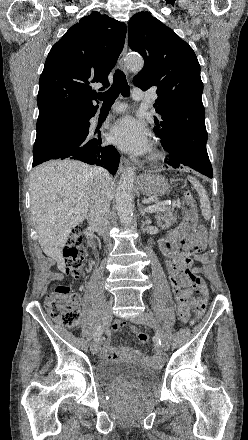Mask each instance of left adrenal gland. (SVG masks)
Listing matches in <instances>:
<instances>
[{"label":"left adrenal gland","mask_w":248,"mask_h":440,"mask_svg":"<svg viewBox=\"0 0 248 440\" xmlns=\"http://www.w3.org/2000/svg\"><path fill=\"white\" fill-rule=\"evenodd\" d=\"M138 206H139V210H140L141 215H142L143 217H146V218H147V216L145 215V210H144V208H143L142 206H140V205H138Z\"/></svg>","instance_id":"obj_1"}]
</instances>
